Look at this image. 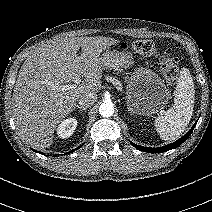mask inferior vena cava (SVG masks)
Returning a JSON list of instances; mask_svg holds the SVG:
<instances>
[{
  "mask_svg": "<svg viewBox=\"0 0 212 212\" xmlns=\"http://www.w3.org/2000/svg\"><path fill=\"white\" fill-rule=\"evenodd\" d=\"M97 101V95L93 92L82 93L78 96V103L81 106L89 107Z\"/></svg>",
  "mask_w": 212,
  "mask_h": 212,
  "instance_id": "602c4592",
  "label": "inferior vena cava"
}]
</instances>
